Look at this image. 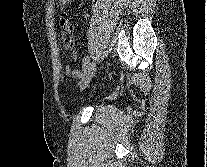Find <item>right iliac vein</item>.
Wrapping results in <instances>:
<instances>
[{"instance_id":"obj_1","label":"right iliac vein","mask_w":207,"mask_h":167,"mask_svg":"<svg viewBox=\"0 0 207 167\" xmlns=\"http://www.w3.org/2000/svg\"><path fill=\"white\" fill-rule=\"evenodd\" d=\"M96 70V64L94 62L90 63L84 71V75L79 83L80 90H84L90 83L94 72Z\"/></svg>"}]
</instances>
